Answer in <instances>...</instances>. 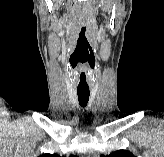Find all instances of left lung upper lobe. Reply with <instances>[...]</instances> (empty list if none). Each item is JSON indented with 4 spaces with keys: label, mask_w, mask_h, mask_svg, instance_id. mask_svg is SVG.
Masks as SVG:
<instances>
[{
    "label": "left lung upper lobe",
    "mask_w": 164,
    "mask_h": 157,
    "mask_svg": "<svg viewBox=\"0 0 164 157\" xmlns=\"http://www.w3.org/2000/svg\"><path fill=\"white\" fill-rule=\"evenodd\" d=\"M100 157H135L132 153L126 150H118L109 155H101Z\"/></svg>",
    "instance_id": "1"
}]
</instances>
